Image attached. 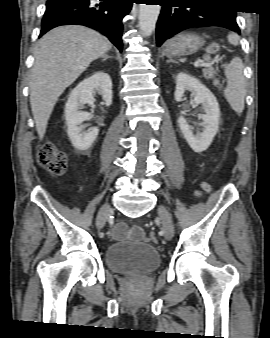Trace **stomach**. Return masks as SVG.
Segmentation results:
<instances>
[{"mask_svg":"<svg viewBox=\"0 0 270 338\" xmlns=\"http://www.w3.org/2000/svg\"><path fill=\"white\" fill-rule=\"evenodd\" d=\"M202 46L203 40L201 37L193 33L183 32L165 43L163 55L170 58L192 55Z\"/></svg>","mask_w":270,"mask_h":338,"instance_id":"0dacf381","label":"stomach"}]
</instances>
